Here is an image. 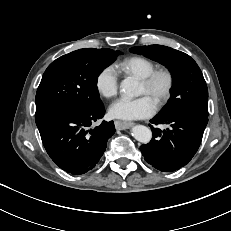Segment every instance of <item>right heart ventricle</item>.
<instances>
[{
	"mask_svg": "<svg viewBox=\"0 0 231 231\" xmlns=\"http://www.w3.org/2000/svg\"><path fill=\"white\" fill-rule=\"evenodd\" d=\"M116 68L119 72L142 79L155 69V63L143 56H130L118 62Z\"/></svg>",
	"mask_w": 231,
	"mask_h": 231,
	"instance_id": "1",
	"label": "right heart ventricle"
}]
</instances>
